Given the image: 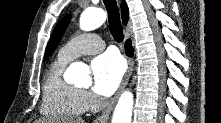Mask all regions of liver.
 Returning <instances> with one entry per match:
<instances>
[{
	"label": "liver",
	"instance_id": "obj_1",
	"mask_svg": "<svg viewBox=\"0 0 221 123\" xmlns=\"http://www.w3.org/2000/svg\"><path fill=\"white\" fill-rule=\"evenodd\" d=\"M68 121V123H85L84 122V120H82V119H80V118H78V119H69V120H67ZM36 123H46V120H37L36 121Z\"/></svg>",
	"mask_w": 221,
	"mask_h": 123
}]
</instances>
